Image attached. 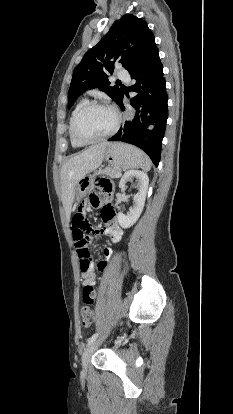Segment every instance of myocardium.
I'll list each match as a JSON object with an SVG mask.
<instances>
[{
	"instance_id": "obj_1",
	"label": "myocardium",
	"mask_w": 233,
	"mask_h": 414,
	"mask_svg": "<svg viewBox=\"0 0 233 414\" xmlns=\"http://www.w3.org/2000/svg\"><path fill=\"white\" fill-rule=\"evenodd\" d=\"M92 108H105V109L110 110L113 113L114 117H115L114 125L108 133H106V134H104L100 137L91 138V139L81 138L80 136H78L77 131H76L77 123H78L80 117L86 111H88L89 109H92ZM121 121H122V118H121V115H120L119 111L116 108H114L113 106H111L109 104H106V103H103V102L90 101V102H87L85 105H83L79 109V111L75 114V116L72 120V124H71V136H72V138L75 142H77L79 144H83V145L104 141L106 139L111 138L112 136H114L117 133V131L120 128Z\"/></svg>"
}]
</instances>
